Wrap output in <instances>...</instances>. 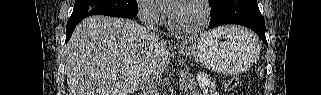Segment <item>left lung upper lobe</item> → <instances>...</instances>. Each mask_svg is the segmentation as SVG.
I'll return each mask as SVG.
<instances>
[{"mask_svg":"<svg viewBox=\"0 0 321 95\" xmlns=\"http://www.w3.org/2000/svg\"><path fill=\"white\" fill-rule=\"evenodd\" d=\"M218 0H210V5L216 3Z\"/></svg>","mask_w":321,"mask_h":95,"instance_id":"1","label":"left lung upper lobe"}]
</instances>
